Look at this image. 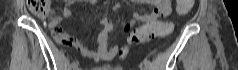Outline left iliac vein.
<instances>
[{
    "label": "left iliac vein",
    "mask_w": 238,
    "mask_h": 70,
    "mask_svg": "<svg viewBox=\"0 0 238 70\" xmlns=\"http://www.w3.org/2000/svg\"><path fill=\"white\" fill-rule=\"evenodd\" d=\"M142 70H148V67L144 65V66L142 67Z\"/></svg>",
    "instance_id": "1"
}]
</instances>
